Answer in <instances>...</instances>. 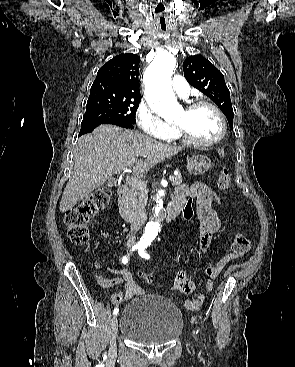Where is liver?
Segmentation results:
<instances>
[{
  "label": "liver",
  "mask_w": 295,
  "mask_h": 367,
  "mask_svg": "<svg viewBox=\"0 0 295 367\" xmlns=\"http://www.w3.org/2000/svg\"><path fill=\"white\" fill-rule=\"evenodd\" d=\"M180 151L182 147L163 144L136 131L107 124L97 127L76 144L73 171L61 198L60 212L71 210L125 168L133 166L134 174L143 176Z\"/></svg>",
  "instance_id": "6515ba94"
}]
</instances>
